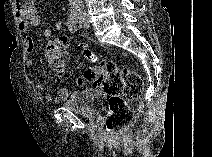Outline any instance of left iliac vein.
Returning a JSON list of instances; mask_svg holds the SVG:
<instances>
[{
    "instance_id": "obj_1",
    "label": "left iliac vein",
    "mask_w": 212,
    "mask_h": 157,
    "mask_svg": "<svg viewBox=\"0 0 212 157\" xmlns=\"http://www.w3.org/2000/svg\"><path fill=\"white\" fill-rule=\"evenodd\" d=\"M78 22H79L80 26H83V27H89L90 26V22H89L88 18L85 17V16L81 17Z\"/></svg>"
}]
</instances>
